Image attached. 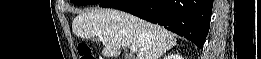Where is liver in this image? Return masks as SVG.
I'll return each mask as SVG.
<instances>
[{"instance_id": "obj_1", "label": "liver", "mask_w": 261, "mask_h": 59, "mask_svg": "<svg viewBox=\"0 0 261 59\" xmlns=\"http://www.w3.org/2000/svg\"><path fill=\"white\" fill-rule=\"evenodd\" d=\"M72 29L81 38H106L104 57H118L122 47L135 46L134 59H159L177 43L164 28L116 9L87 10L74 18Z\"/></svg>"}]
</instances>
